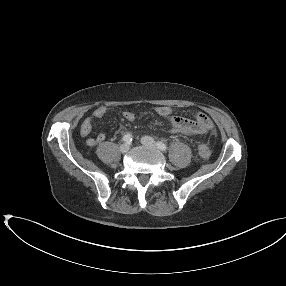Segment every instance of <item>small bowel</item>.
I'll use <instances>...</instances> for the list:
<instances>
[{"label": "small bowel", "mask_w": 286, "mask_h": 286, "mask_svg": "<svg viewBox=\"0 0 286 286\" xmlns=\"http://www.w3.org/2000/svg\"><path fill=\"white\" fill-rule=\"evenodd\" d=\"M155 111L159 116L168 121V131L172 134L197 137L213 129L211 119L203 112H195L191 117H183L174 115L172 109L168 106H158ZM106 113L107 108L101 105L94 109L92 116L99 119ZM123 118L129 122H133L135 120V114L131 111H124ZM91 131L92 117H86L81 123L80 132L83 137H87V146L94 147L105 140L106 136L104 133H99L96 137H91Z\"/></svg>", "instance_id": "obj_1"}]
</instances>
